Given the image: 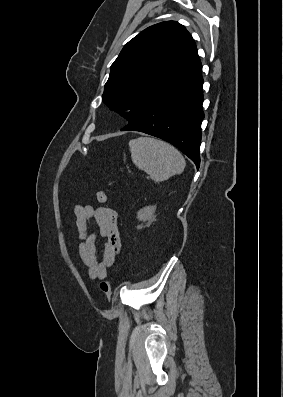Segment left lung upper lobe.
I'll use <instances>...</instances> for the list:
<instances>
[{
	"instance_id": "1",
	"label": "left lung upper lobe",
	"mask_w": 283,
	"mask_h": 397,
	"mask_svg": "<svg viewBox=\"0 0 283 397\" xmlns=\"http://www.w3.org/2000/svg\"><path fill=\"white\" fill-rule=\"evenodd\" d=\"M202 69L196 44L175 21L150 26L131 39L111 65L103 101L129 123ZM130 110L129 113H123Z\"/></svg>"
}]
</instances>
